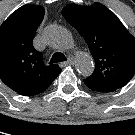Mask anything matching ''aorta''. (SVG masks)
I'll list each match as a JSON object with an SVG mask.
<instances>
[{
    "mask_svg": "<svg viewBox=\"0 0 135 135\" xmlns=\"http://www.w3.org/2000/svg\"><path fill=\"white\" fill-rule=\"evenodd\" d=\"M44 37L49 46L53 49L64 51L73 46L71 33L63 26L52 25L44 33ZM75 67L83 76H89L94 70L92 58L84 52L75 53Z\"/></svg>",
    "mask_w": 135,
    "mask_h": 135,
    "instance_id": "aorta-1",
    "label": "aorta"
}]
</instances>
